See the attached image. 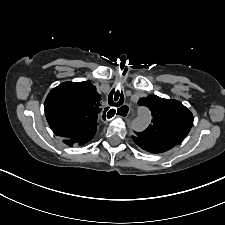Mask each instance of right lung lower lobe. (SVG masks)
<instances>
[{
  "instance_id": "98d812e1",
  "label": "right lung lower lobe",
  "mask_w": 225,
  "mask_h": 225,
  "mask_svg": "<svg viewBox=\"0 0 225 225\" xmlns=\"http://www.w3.org/2000/svg\"><path fill=\"white\" fill-rule=\"evenodd\" d=\"M92 138H87V139H69V138H63V141L65 144L72 146L73 144L77 145H83L90 141Z\"/></svg>"
}]
</instances>
